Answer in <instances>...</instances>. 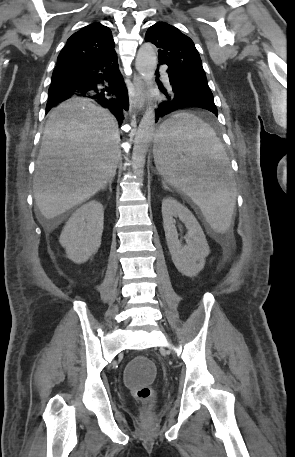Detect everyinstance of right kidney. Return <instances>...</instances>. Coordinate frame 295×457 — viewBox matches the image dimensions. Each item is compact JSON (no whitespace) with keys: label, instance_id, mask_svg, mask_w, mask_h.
Masks as SVG:
<instances>
[{"label":"right kidney","instance_id":"ca27d5eb","mask_svg":"<svg viewBox=\"0 0 295 457\" xmlns=\"http://www.w3.org/2000/svg\"><path fill=\"white\" fill-rule=\"evenodd\" d=\"M103 223V205L96 200L82 205L72 214L59 240L70 260L83 263L98 251Z\"/></svg>","mask_w":295,"mask_h":457}]
</instances>
